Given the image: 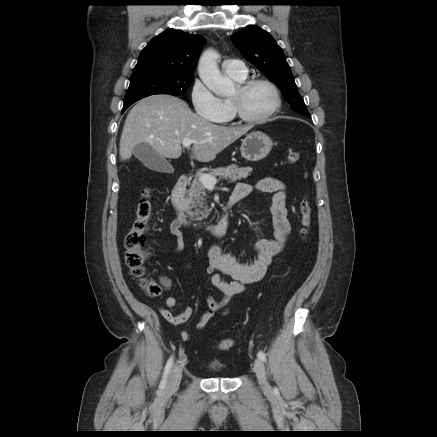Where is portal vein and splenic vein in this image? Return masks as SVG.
Masks as SVG:
<instances>
[{"label":"portal vein and splenic vein","mask_w":437,"mask_h":437,"mask_svg":"<svg viewBox=\"0 0 437 437\" xmlns=\"http://www.w3.org/2000/svg\"><path fill=\"white\" fill-rule=\"evenodd\" d=\"M195 143L194 140H191L189 138H185L182 142L183 146L185 148H189L191 144ZM199 180L200 182L205 186L207 189H213L215 184L217 183V179L215 177H212L208 174L199 173Z\"/></svg>","instance_id":"portal-vein-and-splenic-vein-1"}]
</instances>
